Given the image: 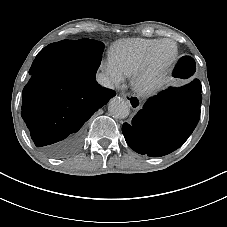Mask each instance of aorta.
I'll use <instances>...</instances> for the list:
<instances>
[{
    "label": "aorta",
    "instance_id": "aorta-1",
    "mask_svg": "<svg viewBox=\"0 0 227 227\" xmlns=\"http://www.w3.org/2000/svg\"><path fill=\"white\" fill-rule=\"evenodd\" d=\"M108 112L117 119H124L129 115L127 102L120 97H113L108 103Z\"/></svg>",
    "mask_w": 227,
    "mask_h": 227
}]
</instances>
